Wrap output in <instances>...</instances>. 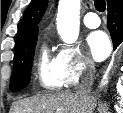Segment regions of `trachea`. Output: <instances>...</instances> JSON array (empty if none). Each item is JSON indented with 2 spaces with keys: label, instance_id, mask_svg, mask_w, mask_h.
Returning <instances> with one entry per match:
<instances>
[{
  "label": "trachea",
  "instance_id": "3493384b",
  "mask_svg": "<svg viewBox=\"0 0 123 113\" xmlns=\"http://www.w3.org/2000/svg\"><path fill=\"white\" fill-rule=\"evenodd\" d=\"M94 6L97 11L104 12L106 9V2L105 0H94Z\"/></svg>",
  "mask_w": 123,
  "mask_h": 113
}]
</instances>
